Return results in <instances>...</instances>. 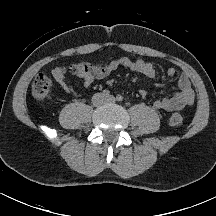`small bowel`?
<instances>
[{
	"mask_svg": "<svg viewBox=\"0 0 216 216\" xmlns=\"http://www.w3.org/2000/svg\"><path fill=\"white\" fill-rule=\"evenodd\" d=\"M98 69L94 72H77L81 84L84 88L91 87L97 80L104 79L113 70L119 66L131 69L147 78H155L156 69L152 63L145 59L131 60L126 56L119 58H111L109 62H101L97 64ZM176 68L170 67L167 69V76L173 78L176 75ZM52 76L61 89L71 95L79 94L78 89L73 86L65 77V70L61 66L52 69ZM178 91L171 96L160 98L154 101L153 106L157 110L174 111L190 107L194 103L195 94L192 88L189 77L186 74L180 75L177 80ZM139 94L142 97H147L148 92L145 89H140Z\"/></svg>",
	"mask_w": 216,
	"mask_h": 216,
	"instance_id": "small-bowel-1",
	"label": "small bowel"
}]
</instances>
